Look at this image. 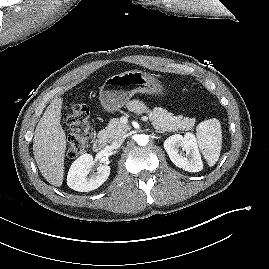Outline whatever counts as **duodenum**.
Here are the masks:
<instances>
[{
    "label": "duodenum",
    "mask_w": 269,
    "mask_h": 269,
    "mask_svg": "<svg viewBox=\"0 0 269 269\" xmlns=\"http://www.w3.org/2000/svg\"><path fill=\"white\" fill-rule=\"evenodd\" d=\"M106 145H107V143H106L105 138L99 137V138L94 140L93 149L96 152H101L105 149Z\"/></svg>",
    "instance_id": "duodenum-1"
}]
</instances>
